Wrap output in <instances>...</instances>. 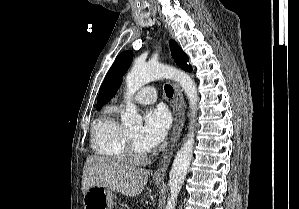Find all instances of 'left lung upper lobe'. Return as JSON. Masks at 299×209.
<instances>
[{
  "instance_id": "obj_1",
  "label": "left lung upper lobe",
  "mask_w": 299,
  "mask_h": 209,
  "mask_svg": "<svg viewBox=\"0 0 299 209\" xmlns=\"http://www.w3.org/2000/svg\"><path fill=\"white\" fill-rule=\"evenodd\" d=\"M169 44L172 57L176 64L186 71H192V67L187 64V55L181 50L176 42L171 40ZM131 59V51H125L116 58L100 88L96 106L97 110H99L115 95L120 86L123 74L127 71L131 64Z\"/></svg>"
}]
</instances>
